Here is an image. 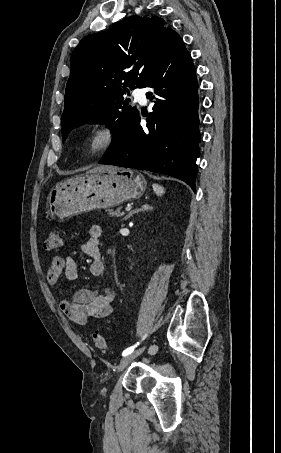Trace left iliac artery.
Instances as JSON below:
<instances>
[{
  "label": "left iliac artery",
  "mask_w": 281,
  "mask_h": 453,
  "mask_svg": "<svg viewBox=\"0 0 281 453\" xmlns=\"http://www.w3.org/2000/svg\"><path fill=\"white\" fill-rule=\"evenodd\" d=\"M137 345H139V342H137L136 345L132 346V347H129L127 348L126 350L123 351L122 355L123 356H127L128 354H131L133 351H134V348L137 347Z\"/></svg>",
  "instance_id": "1"
}]
</instances>
